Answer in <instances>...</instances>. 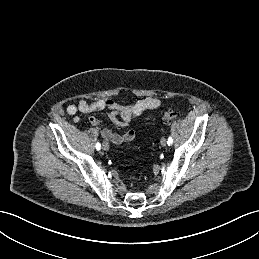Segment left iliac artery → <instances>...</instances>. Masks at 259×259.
<instances>
[{"mask_svg":"<svg viewBox=\"0 0 259 259\" xmlns=\"http://www.w3.org/2000/svg\"><path fill=\"white\" fill-rule=\"evenodd\" d=\"M173 143V139L171 137L168 138L167 144L170 146Z\"/></svg>","mask_w":259,"mask_h":259,"instance_id":"left-iliac-artery-1","label":"left iliac artery"}]
</instances>
